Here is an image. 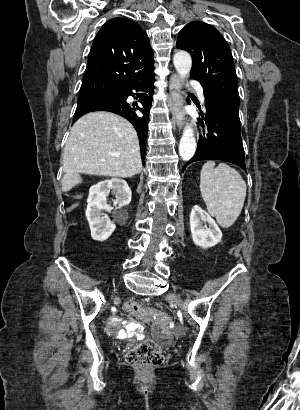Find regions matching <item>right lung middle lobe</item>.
Instances as JSON below:
<instances>
[{
  "label": "right lung middle lobe",
  "mask_w": 300,
  "mask_h": 410,
  "mask_svg": "<svg viewBox=\"0 0 300 410\" xmlns=\"http://www.w3.org/2000/svg\"><path fill=\"white\" fill-rule=\"evenodd\" d=\"M117 93H119V88L102 82H82L78 101L97 95Z\"/></svg>",
  "instance_id": "1"
}]
</instances>
